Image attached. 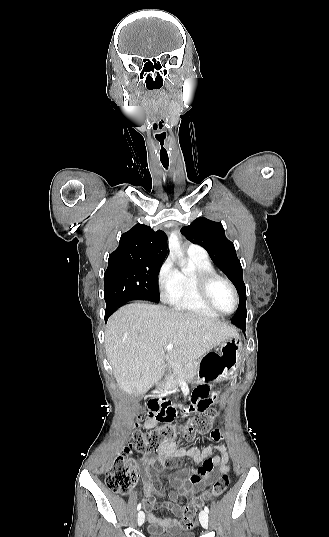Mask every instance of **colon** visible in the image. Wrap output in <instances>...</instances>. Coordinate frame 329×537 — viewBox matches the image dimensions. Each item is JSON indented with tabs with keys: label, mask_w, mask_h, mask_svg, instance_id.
<instances>
[{
	"label": "colon",
	"mask_w": 329,
	"mask_h": 537,
	"mask_svg": "<svg viewBox=\"0 0 329 537\" xmlns=\"http://www.w3.org/2000/svg\"><path fill=\"white\" fill-rule=\"evenodd\" d=\"M146 415L148 419L155 420L156 416L153 413L146 412ZM214 423L215 414L214 412H209L204 415L193 417L182 426L163 423L161 426H158L149 432L135 429L131 434L128 445L124 448V453L119 454L115 461L105 470L104 476L106 486L114 493H119L121 495L129 494L136 479V470L133 466V462L127 457L131 450L149 454L158 450L164 443L173 442L179 436H183L187 440H192L198 434L212 432L214 431ZM228 486L229 476L227 474H222L209 490L202 492L182 506V526L186 529L188 534H193L195 532L194 517L197 510L204 504V502L223 494Z\"/></svg>",
	"instance_id": "5ec220e1"
}]
</instances>
